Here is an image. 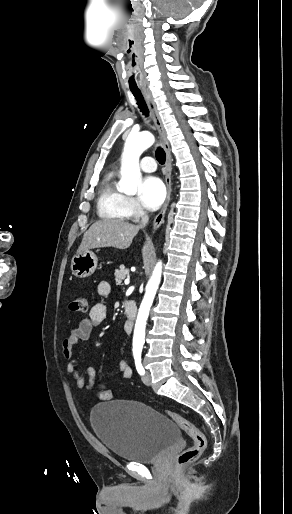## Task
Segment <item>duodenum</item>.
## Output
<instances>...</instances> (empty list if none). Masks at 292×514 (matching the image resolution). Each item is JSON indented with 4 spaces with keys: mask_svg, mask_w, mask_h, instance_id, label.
<instances>
[{
    "mask_svg": "<svg viewBox=\"0 0 292 514\" xmlns=\"http://www.w3.org/2000/svg\"><path fill=\"white\" fill-rule=\"evenodd\" d=\"M124 310L127 314V320L125 323V331L130 333L133 329V323L137 315V305L133 300H127L124 303Z\"/></svg>",
    "mask_w": 292,
    "mask_h": 514,
    "instance_id": "duodenum-1",
    "label": "duodenum"
}]
</instances>
